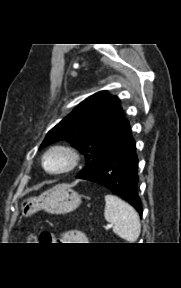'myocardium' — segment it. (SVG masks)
Returning <instances> with one entry per match:
<instances>
[{"instance_id":"f54148a6","label":"myocardium","mask_w":181,"mask_h":288,"mask_svg":"<svg viewBox=\"0 0 181 288\" xmlns=\"http://www.w3.org/2000/svg\"><path fill=\"white\" fill-rule=\"evenodd\" d=\"M53 153H61L67 159V164L63 168L59 170H55V171L49 170L46 167V160L49 157V155ZM80 159L81 157H80L78 150L74 148L73 146H70L67 144H55V145L50 146L43 153L41 157V165H42L43 170L49 175H56V176L64 175L75 170L80 163Z\"/></svg>"}]
</instances>
